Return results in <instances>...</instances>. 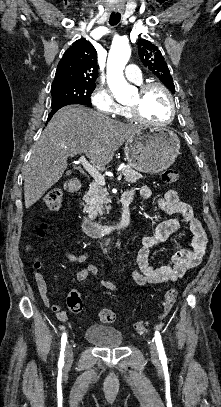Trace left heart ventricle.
Instances as JSON below:
<instances>
[{"instance_id": "1", "label": "left heart ventricle", "mask_w": 221, "mask_h": 407, "mask_svg": "<svg viewBox=\"0 0 221 407\" xmlns=\"http://www.w3.org/2000/svg\"><path fill=\"white\" fill-rule=\"evenodd\" d=\"M139 100L138 92L135 93L129 105L135 104ZM141 111L145 118L162 122L169 117L170 106L165 93L158 89H151L140 102Z\"/></svg>"}]
</instances>
